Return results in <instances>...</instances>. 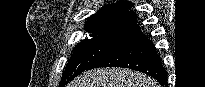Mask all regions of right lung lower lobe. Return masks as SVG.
I'll return each mask as SVG.
<instances>
[{
    "instance_id": "98d812e1",
    "label": "right lung lower lobe",
    "mask_w": 205,
    "mask_h": 87,
    "mask_svg": "<svg viewBox=\"0 0 205 87\" xmlns=\"http://www.w3.org/2000/svg\"><path fill=\"white\" fill-rule=\"evenodd\" d=\"M99 67H123L133 69L156 79L162 86L167 85V71L154 44L142 31L133 34L120 46L95 62L89 69Z\"/></svg>"
}]
</instances>
